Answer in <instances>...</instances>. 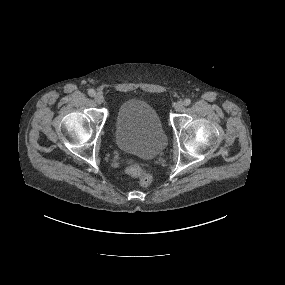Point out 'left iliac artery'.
Returning a JSON list of instances; mask_svg holds the SVG:
<instances>
[{
    "instance_id": "1",
    "label": "left iliac artery",
    "mask_w": 285,
    "mask_h": 285,
    "mask_svg": "<svg viewBox=\"0 0 285 285\" xmlns=\"http://www.w3.org/2000/svg\"><path fill=\"white\" fill-rule=\"evenodd\" d=\"M190 104H191V100L190 99L187 98V99L184 100V105L185 106H189Z\"/></svg>"
}]
</instances>
